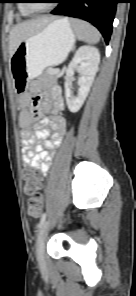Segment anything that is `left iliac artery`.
<instances>
[{
  "label": "left iliac artery",
  "instance_id": "obj_1",
  "mask_svg": "<svg viewBox=\"0 0 136 296\" xmlns=\"http://www.w3.org/2000/svg\"><path fill=\"white\" fill-rule=\"evenodd\" d=\"M45 220H46V213H43L42 216H41V220H40V222L38 224V228L39 229L42 227V225L45 222Z\"/></svg>",
  "mask_w": 136,
  "mask_h": 296
}]
</instances>
